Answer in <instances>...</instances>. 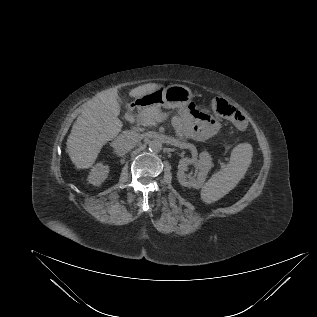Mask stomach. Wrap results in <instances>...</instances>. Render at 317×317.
Instances as JSON below:
<instances>
[{"label":"stomach","mask_w":317,"mask_h":317,"mask_svg":"<svg viewBox=\"0 0 317 317\" xmlns=\"http://www.w3.org/2000/svg\"><path fill=\"white\" fill-rule=\"evenodd\" d=\"M193 97L191 90L183 85H170L167 88H158L154 92L137 98V102L142 107L162 106L166 109L184 108Z\"/></svg>","instance_id":"stomach-1"}]
</instances>
